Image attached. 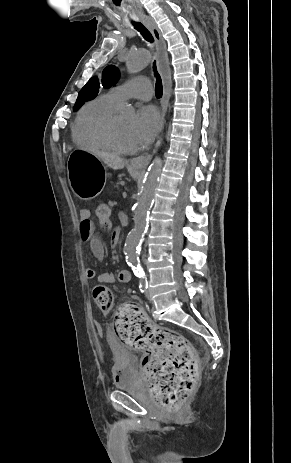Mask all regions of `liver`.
Returning <instances> with one entry per match:
<instances>
[{
    "mask_svg": "<svg viewBox=\"0 0 291 463\" xmlns=\"http://www.w3.org/2000/svg\"><path fill=\"white\" fill-rule=\"evenodd\" d=\"M92 154L98 157L100 160H102L108 167L117 170V169H123L126 162L124 159L119 157L116 154L113 153H108L105 151H98V150H93Z\"/></svg>",
    "mask_w": 291,
    "mask_h": 463,
    "instance_id": "1",
    "label": "liver"
}]
</instances>
